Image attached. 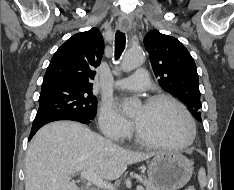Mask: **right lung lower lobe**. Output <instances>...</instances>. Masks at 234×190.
Returning <instances> with one entry per match:
<instances>
[{"mask_svg":"<svg viewBox=\"0 0 234 190\" xmlns=\"http://www.w3.org/2000/svg\"><path fill=\"white\" fill-rule=\"evenodd\" d=\"M58 120H72V121H78V122H81V123H84V124H89L91 121L89 120H83V119H80V118H77V117H72V116H56V117H53L43 123H40L38 124L37 126L35 127H32L31 129V133H30V136H29V140L34 136V134L45 124L47 123H50V122H53V121H58Z\"/></svg>","mask_w":234,"mask_h":190,"instance_id":"obj_1","label":"right lung lower lobe"}]
</instances>
